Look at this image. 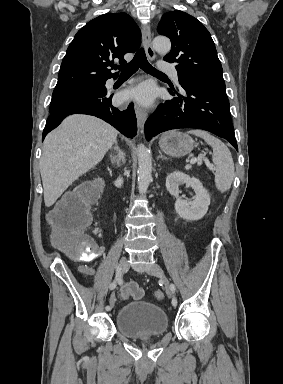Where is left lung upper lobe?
<instances>
[{
    "instance_id": "1",
    "label": "left lung upper lobe",
    "mask_w": 283,
    "mask_h": 384,
    "mask_svg": "<svg viewBox=\"0 0 283 384\" xmlns=\"http://www.w3.org/2000/svg\"><path fill=\"white\" fill-rule=\"evenodd\" d=\"M158 32L172 42L164 60L177 63L180 80L225 87L215 44L200 21L185 12L170 11L162 16Z\"/></svg>"
}]
</instances>
